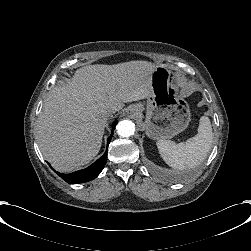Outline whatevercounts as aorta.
Wrapping results in <instances>:
<instances>
[{
	"mask_svg": "<svg viewBox=\"0 0 251 251\" xmlns=\"http://www.w3.org/2000/svg\"><path fill=\"white\" fill-rule=\"evenodd\" d=\"M117 133L121 137H129L134 134L135 125L130 120H123L118 123L116 126Z\"/></svg>",
	"mask_w": 251,
	"mask_h": 251,
	"instance_id": "aorta-1",
	"label": "aorta"
}]
</instances>
